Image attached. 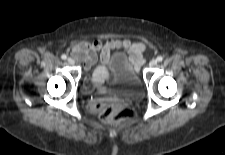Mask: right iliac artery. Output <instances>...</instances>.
<instances>
[{
    "label": "right iliac artery",
    "mask_w": 225,
    "mask_h": 155,
    "mask_svg": "<svg viewBox=\"0 0 225 155\" xmlns=\"http://www.w3.org/2000/svg\"><path fill=\"white\" fill-rule=\"evenodd\" d=\"M61 58H62L63 60H66V59H67V56H66L65 54H63V55L61 56Z\"/></svg>",
    "instance_id": "1"
}]
</instances>
